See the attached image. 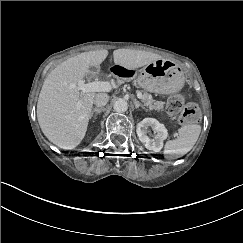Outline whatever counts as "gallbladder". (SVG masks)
<instances>
[{
	"instance_id": "1",
	"label": "gallbladder",
	"mask_w": 243,
	"mask_h": 243,
	"mask_svg": "<svg viewBox=\"0 0 243 243\" xmlns=\"http://www.w3.org/2000/svg\"><path fill=\"white\" fill-rule=\"evenodd\" d=\"M89 71L91 72V76L98 74L100 71V67L98 66H91L89 67Z\"/></svg>"
}]
</instances>
